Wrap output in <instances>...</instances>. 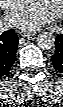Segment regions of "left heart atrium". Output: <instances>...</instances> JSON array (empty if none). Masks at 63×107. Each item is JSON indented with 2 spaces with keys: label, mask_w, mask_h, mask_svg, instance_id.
<instances>
[{
  "label": "left heart atrium",
  "mask_w": 63,
  "mask_h": 107,
  "mask_svg": "<svg viewBox=\"0 0 63 107\" xmlns=\"http://www.w3.org/2000/svg\"><path fill=\"white\" fill-rule=\"evenodd\" d=\"M48 15L43 10L33 6H22L14 10L9 16V21L25 29H34L47 22Z\"/></svg>",
  "instance_id": "39dd6f15"
}]
</instances>
